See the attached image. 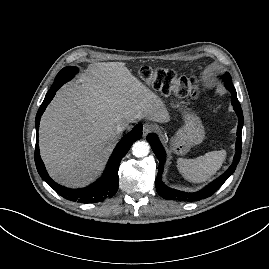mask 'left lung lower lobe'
<instances>
[{"label":"left lung lower lobe","instance_id":"obj_1","mask_svg":"<svg viewBox=\"0 0 269 269\" xmlns=\"http://www.w3.org/2000/svg\"><path fill=\"white\" fill-rule=\"evenodd\" d=\"M226 88L231 93V102L233 108L238 116V128H237V140H236V154L234 156V161L232 165L228 168V170L222 174L219 178L211 182L209 185L204 187L202 190L195 193H187L183 191H178L175 189L168 188L162 182L161 176L164 168L165 162V150L162 147L158 137L156 134H148L147 141L150 143L153 152L159 160V172L155 181L156 190L159 195L165 199H172L176 201H198L201 199H205L211 195H213L222 185L223 183L233 174L236 169L237 164L239 163L241 157L242 150V139L241 133L243 128V114L240 103L237 99L236 90L232 83L225 84Z\"/></svg>","mask_w":269,"mask_h":269}]
</instances>
